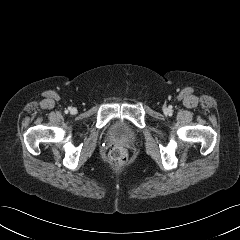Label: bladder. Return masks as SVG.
<instances>
[{
	"label": "bladder",
	"instance_id": "obj_1",
	"mask_svg": "<svg viewBox=\"0 0 240 240\" xmlns=\"http://www.w3.org/2000/svg\"><path fill=\"white\" fill-rule=\"evenodd\" d=\"M109 136L112 139L133 141L136 138V133L126 123L117 121L111 126Z\"/></svg>",
	"mask_w": 240,
	"mask_h": 240
}]
</instances>
